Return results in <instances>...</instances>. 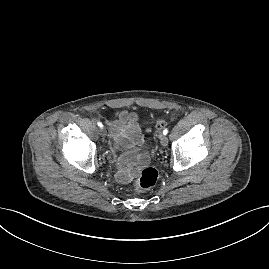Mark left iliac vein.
<instances>
[{
	"instance_id": "1",
	"label": "left iliac vein",
	"mask_w": 269,
	"mask_h": 269,
	"mask_svg": "<svg viewBox=\"0 0 269 269\" xmlns=\"http://www.w3.org/2000/svg\"><path fill=\"white\" fill-rule=\"evenodd\" d=\"M159 139H160V143H161L162 146H164V147L167 146V144H168V138H167L166 135L160 134L159 135Z\"/></svg>"
}]
</instances>
